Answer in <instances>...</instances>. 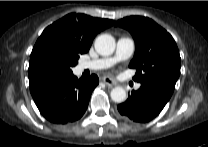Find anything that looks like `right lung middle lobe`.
<instances>
[{"mask_svg": "<svg viewBox=\"0 0 208 147\" xmlns=\"http://www.w3.org/2000/svg\"><path fill=\"white\" fill-rule=\"evenodd\" d=\"M78 56L62 55L54 60V68L57 75H68L72 73L71 68L78 63Z\"/></svg>", "mask_w": 208, "mask_h": 147, "instance_id": "obj_1", "label": "right lung middle lobe"}]
</instances>
